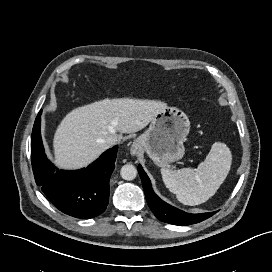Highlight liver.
I'll list each match as a JSON object with an SVG mask.
<instances>
[{
  "label": "liver",
  "instance_id": "6515ba94",
  "mask_svg": "<svg viewBox=\"0 0 272 272\" xmlns=\"http://www.w3.org/2000/svg\"><path fill=\"white\" fill-rule=\"evenodd\" d=\"M167 104L132 98L103 99L70 111L53 139L54 162L62 169H79L97 159L111 134L135 133L146 127Z\"/></svg>",
  "mask_w": 272,
  "mask_h": 272
}]
</instances>
